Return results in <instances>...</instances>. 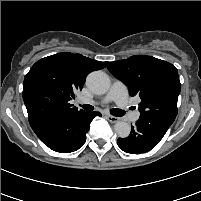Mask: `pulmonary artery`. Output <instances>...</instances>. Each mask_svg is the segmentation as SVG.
<instances>
[{
	"mask_svg": "<svg viewBox=\"0 0 201 201\" xmlns=\"http://www.w3.org/2000/svg\"><path fill=\"white\" fill-rule=\"evenodd\" d=\"M109 102H115L121 109L127 111L130 121L136 122L139 119L140 113L138 111L131 112L129 110L127 87L121 81H114L108 93L98 103L107 104Z\"/></svg>",
	"mask_w": 201,
	"mask_h": 201,
	"instance_id": "e3ab8cb5",
	"label": "pulmonary artery"
}]
</instances>
